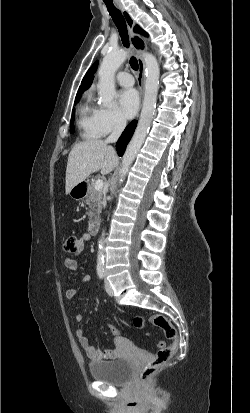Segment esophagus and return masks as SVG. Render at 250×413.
Returning a JSON list of instances; mask_svg holds the SVG:
<instances>
[{
  "label": "esophagus",
  "instance_id": "esophagus-1",
  "mask_svg": "<svg viewBox=\"0 0 250 413\" xmlns=\"http://www.w3.org/2000/svg\"><path fill=\"white\" fill-rule=\"evenodd\" d=\"M119 8L126 21L129 34H130L131 44L136 52L138 66H139L138 86H139L141 95L143 97L144 82H145V63H144L142 54L146 50L147 45H146L145 40L141 37V35L135 32L134 30L135 21L133 17L130 15V13L122 5H119Z\"/></svg>",
  "mask_w": 250,
  "mask_h": 413
}]
</instances>
